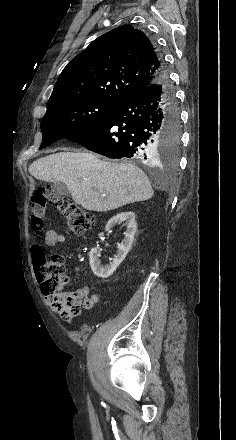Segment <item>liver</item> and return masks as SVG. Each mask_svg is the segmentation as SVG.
<instances>
[{
    "instance_id": "1",
    "label": "liver",
    "mask_w": 236,
    "mask_h": 440,
    "mask_svg": "<svg viewBox=\"0 0 236 440\" xmlns=\"http://www.w3.org/2000/svg\"><path fill=\"white\" fill-rule=\"evenodd\" d=\"M40 181L63 182L76 204L106 212L150 199L154 191L148 177L131 163L100 160L90 152H59L29 166Z\"/></svg>"
}]
</instances>
